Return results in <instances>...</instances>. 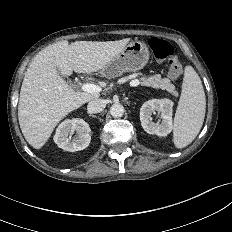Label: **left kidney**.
Listing matches in <instances>:
<instances>
[{"mask_svg":"<svg viewBox=\"0 0 232 232\" xmlns=\"http://www.w3.org/2000/svg\"><path fill=\"white\" fill-rule=\"evenodd\" d=\"M161 114L162 121H152V113ZM173 102L169 99H152L146 101L140 108V121L143 129L149 134L167 136L172 131Z\"/></svg>","mask_w":232,"mask_h":232,"instance_id":"left-kidney-1","label":"left kidney"}]
</instances>
